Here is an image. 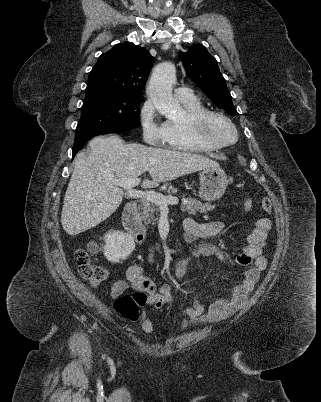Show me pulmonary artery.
<instances>
[{"label": "pulmonary artery", "instance_id": "e3ab8cb5", "mask_svg": "<svg viewBox=\"0 0 321 402\" xmlns=\"http://www.w3.org/2000/svg\"><path fill=\"white\" fill-rule=\"evenodd\" d=\"M174 92L175 96L180 101H187L195 98L193 91L187 87H177Z\"/></svg>", "mask_w": 321, "mask_h": 402}]
</instances>
